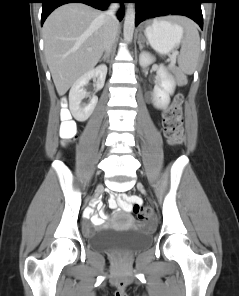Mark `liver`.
Returning a JSON list of instances; mask_svg holds the SVG:
<instances>
[{"label":"liver","mask_w":239,"mask_h":296,"mask_svg":"<svg viewBox=\"0 0 239 296\" xmlns=\"http://www.w3.org/2000/svg\"><path fill=\"white\" fill-rule=\"evenodd\" d=\"M105 24L104 13L82 3L63 5L46 19L44 51L59 95L100 60Z\"/></svg>","instance_id":"liver-1"}]
</instances>
